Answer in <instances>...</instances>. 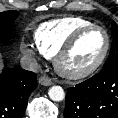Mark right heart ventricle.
<instances>
[{"mask_svg":"<svg viewBox=\"0 0 118 118\" xmlns=\"http://www.w3.org/2000/svg\"><path fill=\"white\" fill-rule=\"evenodd\" d=\"M91 24L83 17H64L45 22L34 33L35 44L44 57L52 59L74 32Z\"/></svg>","mask_w":118,"mask_h":118,"instance_id":"e07e8e85","label":"right heart ventricle"}]
</instances>
